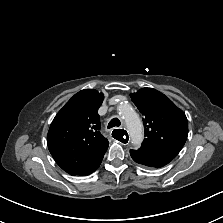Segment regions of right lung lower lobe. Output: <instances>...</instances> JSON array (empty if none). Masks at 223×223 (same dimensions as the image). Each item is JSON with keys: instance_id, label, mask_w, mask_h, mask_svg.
<instances>
[{"instance_id": "1", "label": "right lung lower lobe", "mask_w": 223, "mask_h": 223, "mask_svg": "<svg viewBox=\"0 0 223 223\" xmlns=\"http://www.w3.org/2000/svg\"><path fill=\"white\" fill-rule=\"evenodd\" d=\"M101 163V162H100ZM100 163L98 165H96L95 167H93L91 170H89L88 172L81 174V175H89L91 173H93L100 165Z\"/></svg>"}]
</instances>
